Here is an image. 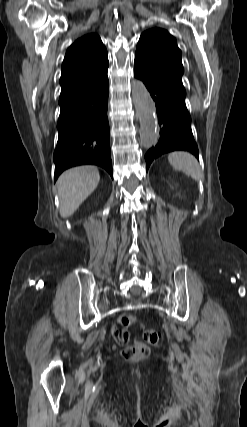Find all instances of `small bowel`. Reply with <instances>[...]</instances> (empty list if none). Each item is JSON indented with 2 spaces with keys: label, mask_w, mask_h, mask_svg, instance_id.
I'll use <instances>...</instances> for the list:
<instances>
[{
  "label": "small bowel",
  "mask_w": 247,
  "mask_h": 427,
  "mask_svg": "<svg viewBox=\"0 0 247 427\" xmlns=\"http://www.w3.org/2000/svg\"><path fill=\"white\" fill-rule=\"evenodd\" d=\"M135 321V318L131 315H121L118 318V326H113L111 328V334L116 342L123 344L126 343L129 339V327Z\"/></svg>",
  "instance_id": "1"
}]
</instances>
